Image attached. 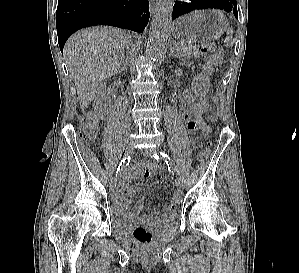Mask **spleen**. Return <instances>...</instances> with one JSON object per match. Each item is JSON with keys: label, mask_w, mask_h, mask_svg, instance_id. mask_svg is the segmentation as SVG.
<instances>
[{"label": "spleen", "mask_w": 299, "mask_h": 273, "mask_svg": "<svg viewBox=\"0 0 299 273\" xmlns=\"http://www.w3.org/2000/svg\"><path fill=\"white\" fill-rule=\"evenodd\" d=\"M227 34L230 36V38L227 41V47L233 45V39L231 38V35L233 34V30L231 28L227 29Z\"/></svg>", "instance_id": "1"}]
</instances>
